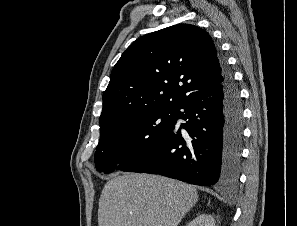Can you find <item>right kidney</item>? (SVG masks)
Instances as JSON below:
<instances>
[{
  "mask_svg": "<svg viewBox=\"0 0 297 226\" xmlns=\"http://www.w3.org/2000/svg\"><path fill=\"white\" fill-rule=\"evenodd\" d=\"M187 226H216L215 219L208 214H200L193 219Z\"/></svg>",
  "mask_w": 297,
  "mask_h": 226,
  "instance_id": "right-kidney-1",
  "label": "right kidney"
}]
</instances>
